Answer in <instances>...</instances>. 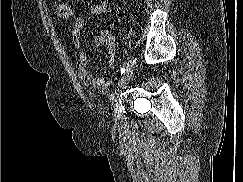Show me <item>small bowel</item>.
Segmentation results:
<instances>
[{
	"instance_id": "1",
	"label": "small bowel",
	"mask_w": 243,
	"mask_h": 182,
	"mask_svg": "<svg viewBox=\"0 0 243 182\" xmlns=\"http://www.w3.org/2000/svg\"><path fill=\"white\" fill-rule=\"evenodd\" d=\"M108 5L102 1L93 3L88 8V13L91 15H100L107 11ZM85 26V19L83 16L75 18L73 30L71 34L72 44L77 54L76 60V74L78 78L88 87L97 90H105L112 84V79L108 78L107 73L101 76L93 75L88 70V58L83 49V28ZM95 46H104L109 57V65L111 68L115 66V40L109 34H103L94 38Z\"/></svg>"
}]
</instances>
